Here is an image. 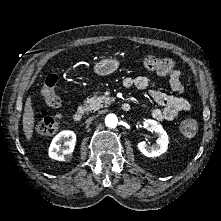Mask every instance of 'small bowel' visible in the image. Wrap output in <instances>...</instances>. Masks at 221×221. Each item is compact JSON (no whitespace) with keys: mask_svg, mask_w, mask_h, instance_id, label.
<instances>
[{"mask_svg":"<svg viewBox=\"0 0 221 221\" xmlns=\"http://www.w3.org/2000/svg\"><path fill=\"white\" fill-rule=\"evenodd\" d=\"M125 88H137L139 90H147L149 85V77L146 75L137 77H126L122 82ZM171 89L182 94L185 90L183 84L182 73L176 70L173 76H170ZM148 94L152 100L160 106L151 110L150 115L156 120H174L180 113L188 112L191 109L190 102L180 96L166 94L156 89H148Z\"/></svg>","mask_w":221,"mask_h":221,"instance_id":"1","label":"small bowel"}]
</instances>
